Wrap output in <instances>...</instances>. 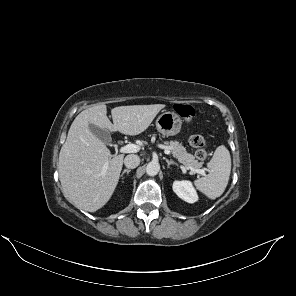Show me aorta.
<instances>
[{
  "label": "aorta",
  "mask_w": 296,
  "mask_h": 296,
  "mask_svg": "<svg viewBox=\"0 0 296 296\" xmlns=\"http://www.w3.org/2000/svg\"><path fill=\"white\" fill-rule=\"evenodd\" d=\"M160 170V164L156 161H151L147 164V167H146V173L149 175V176H155L158 174Z\"/></svg>",
  "instance_id": "aorta-1"
}]
</instances>
